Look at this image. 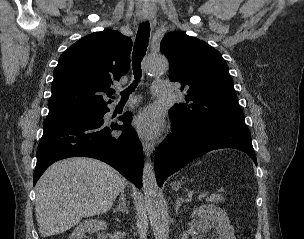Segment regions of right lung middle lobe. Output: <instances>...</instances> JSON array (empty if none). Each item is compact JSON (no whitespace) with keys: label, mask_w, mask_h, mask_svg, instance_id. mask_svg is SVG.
<instances>
[{"label":"right lung middle lobe","mask_w":304,"mask_h":239,"mask_svg":"<svg viewBox=\"0 0 304 239\" xmlns=\"http://www.w3.org/2000/svg\"><path fill=\"white\" fill-rule=\"evenodd\" d=\"M104 111V108L90 110L87 112H83L80 114L62 117V118H55V119H46L44 121V125L51 124V123H58V122H71V121H82V120H90L98 115H101Z\"/></svg>","instance_id":"right-lung-middle-lobe-1"}]
</instances>
